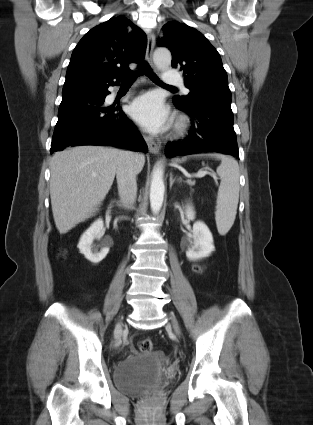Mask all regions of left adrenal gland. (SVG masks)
Listing matches in <instances>:
<instances>
[{
  "label": "left adrenal gland",
  "mask_w": 313,
  "mask_h": 425,
  "mask_svg": "<svg viewBox=\"0 0 313 425\" xmlns=\"http://www.w3.org/2000/svg\"><path fill=\"white\" fill-rule=\"evenodd\" d=\"M169 181H170V189H171V187H172V185L174 184V182H175V181H177V182H181V179L173 178V174H172V173H170V179H169Z\"/></svg>",
  "instance_id": "obj_1"
}]
</instances>
